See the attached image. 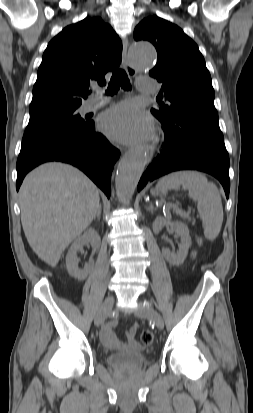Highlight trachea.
Returning <instances> with one entry per match:
<instances>
[{
    "label": "trachea",
    "instance_id": "obj_1",
    "mask_svg": "<svg viewBox=\"0 0 253 413\" xmlns=\"http://www.w3.org/2000/svg\"><path fill=\"white\" fill-rule=\"evenodd\" d=\"M120 87L124 90L131 89L130 80L123 69H118L113 72L106 94L113 95L120 89Z\"/></svg>",
    "mask_w": 253,
    "mask_h": 413
}]
</instances>
